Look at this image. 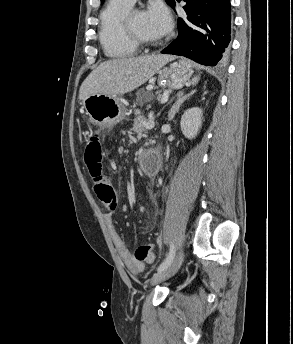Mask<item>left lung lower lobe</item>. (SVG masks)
Returning <instances> with one entry per match:
<instances>
[{"instance_id": "0a47b994", "label": "left lung lower lobe", "mask_w": 293, "mask_h": 344, "mask_svg": "<svg viewBox=\"0 0 293 344\" xmlns=\"http://www.w3.org/2000/svg\"><path fill=\"white\" fill-rule=\"evenodd\" d=\"M184 1L187 20L178 19V36L161 53L182 55L206 66L224 63L231 33L230 0Z\"/></svg>"}]
</instances>
